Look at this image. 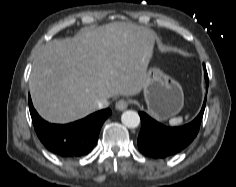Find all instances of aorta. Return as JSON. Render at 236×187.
<instances>
[{
    "label": "aorta",
    "mask_w": 236,
    "mask_h": 187,
    "mask_svg": "<svg viewBox=\"0 0 236 187\" xmlns=\"http://www.w3.org/2000/svg\"><path fill=\"white\" fill-rule=\"evenodd\" d=\"M121 121L128 128H136L140 124V117L137 112L127 110L122 114Z\"/></svg>",
    "instance_id": "obj_1"
}]
</instances>
